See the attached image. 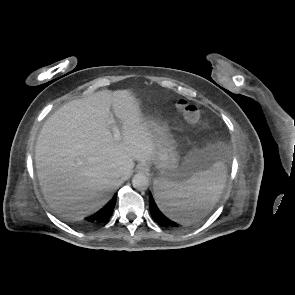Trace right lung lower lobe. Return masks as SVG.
Here are the masks:
<instances>
[{
    "label": "right lung lower lobe",
    "instance_id": "obj_1",
    "mask_svg": "<svg viewBox=\"0 0 295 295\" xmlns=\"http://www.w3.org/2000/svg\"><path fill=\"white\" fill-rule=\"evenodd\" d=\"M116 203V195L113 199L105 206V208L101 209L97 213L85 218V224L88 226H94L100 223H105L109 220Z\"/></svg>",
    "mask_w": 295,
    "mask_h": 295
}]
</instances>
